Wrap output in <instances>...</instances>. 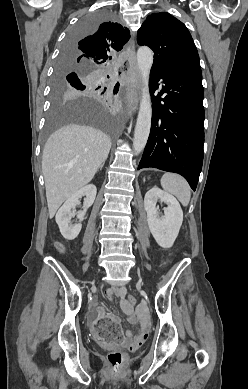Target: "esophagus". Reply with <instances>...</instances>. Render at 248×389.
Masks as SVG:
<instances>
[{"label":"esophagus","instance_id":"obj_1","mask_svg":"<svg viewBox=\"0 0 248 389\" xmlns=\"http://www.w3.org/2000/svg\"><path fill=\"white\" fill-rule=\"evenodd\" d=\"M128 52L132 57L135 55V45L131 42ZM139 101V74L135 69L132 73V81L127 88V94L125 98V106L127 116H131L137 109Z\"/></svg>","mask_w":248,"mask_h":389}]
</instances>
